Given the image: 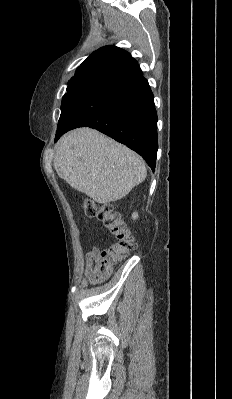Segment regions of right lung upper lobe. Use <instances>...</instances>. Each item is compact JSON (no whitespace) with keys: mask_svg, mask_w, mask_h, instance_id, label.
I'll list each match as a JSON object with an SVG mask.
<instances>
[{"mask_svg":"<svg viewBox=\"0 0 232 399\" xmlns=\"http://www.w3.org/2000/svg\"><path fill=\"white\" fill-rule=\"evenodd\" d=\"M137 61L123 49L105 46L93 52L76 70L71 80L95 79L103 81L131 67Z\"/></svg>","mask_w":232,"mask_h":399,"instance_id":"right-lung-upper-lobe-1","label":"right lung upper lobe"}]
</instances>
